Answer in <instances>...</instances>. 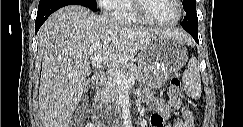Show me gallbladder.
<instances>
[{
	"mask_svg": "<svg viewBox=\"0 0 243 127\" xmlns=\"http://www.w3.org/2000/svg\"><path fill=\"white\" fill-rule=\"evenodd\" d=\"M89 85H90V84H89V81H87L86 89L88 88Z\"/></svg>",
	"mask_w": 243,
	"mask_h": 127,
	"instance_id": "gallbladder-1",
	"label": "gallbladder"
}]
</instances>
